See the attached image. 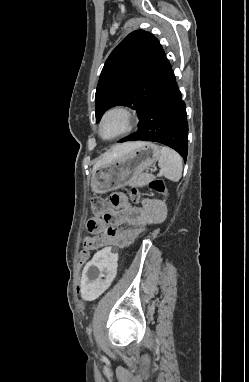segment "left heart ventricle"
Instances as JSON below:
<instances>
[{
  "label": "left heart ventricle",
  "mask_w": 249,
  "mask_h": 382,
  "mask_svg": "<svg viewBox=\"0 0 249 382\" xmlns=\"http://www.w3.org/2000/svg\"><path fill=\"white\" fill-rule=\"evenodd\" d=\"M120 127V121L118 119H110L104 126V134L112 135L119 131Z\"/></svg>",
  "instance_id": "1"
}]
</instances>
